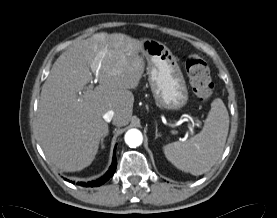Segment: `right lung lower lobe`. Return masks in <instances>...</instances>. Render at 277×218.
<instances>
[{
  "instance_id": "right-lung-lower-lobe-1",
  "label": "right lung lower lobe",
  "mask_w": 277,
  "mask_h": 218,
  "mask_svg": "<svg viewBox=\"0 0 277 218\" xmlns=\"http://www.w3.org/2000/svg\"><path fill=\"white\" fill-rule=\"evenodd\" d=\"M114 152H115V150H114ZM116 167H117V160H116V157L114 155L113 156V163H112L110 169L107 171V173L104 176H102L101 178H99L95 181H91V182H87V183L78 182L77 185H82V186H85V187L100 186V185L104 184L107 180H109L113 176V174L116 170ZM65 180H67V179H65ZM72 183H75V182H72Z\"/></svg>"
}]
</instances>
